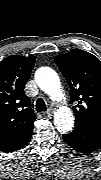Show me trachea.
Here are the masks:
<instances>
[{
    "mask_svg": "<svg viewBox=\"0 0 101 180\" xmlns=\"http://www.w3.org/2000/svg\"><path fill=\"white\" fill-rule=\"evenodd\" d=\"M36 110L37 112H43L46 110V105L43 99L40 98L36 101Z\"/></svg>",
    "mask_w": 101,
    "mask_h": 180,
    "instance_id": "1",
    "label": "trachea"
}]
</instances>
